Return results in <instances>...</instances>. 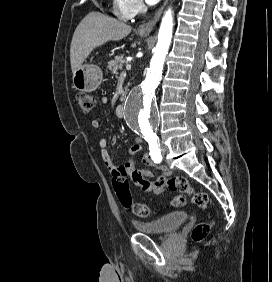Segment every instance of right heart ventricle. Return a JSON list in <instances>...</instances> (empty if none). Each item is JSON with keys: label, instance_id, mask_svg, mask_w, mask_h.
Masks as SVG:
<instances>
[{"label": "right heart ventricle", "instance_id": "right-heart-ventricle-1", "mask_svg": "<svg viewBox=\"0 0 272 282\" xmlns=\"http://www.w3.org/2000/svg\"><path fill=\"white\" fill-rule=\"evenodd\" d=\"M114 4H115V8H114L115 14H116L120 19L127 20V19L129 18V16L125 15V14L122 12L123 0H114Z\"/></svg>", "mask_w": 272, "mask_h": 282}]
</instances>
